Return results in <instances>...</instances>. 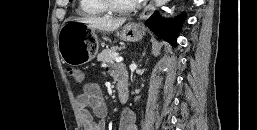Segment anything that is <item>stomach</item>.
<instances>
[{"label": "stomach", "mask_w": 257, "mask_h": 130, "mask_svg": "<svg viewBox=\"0 0 257 130\" xmlns=\"http://www.w3.org/2000/svg\"><path fill=\"white\" fill-rule=\"evenodd\" d=\"M118 34L122 40L129 42H137L143 37L140 25L133 22L124 25ZM89 36H94V29L82 22L70 20L62 25L58 35V49L64 63L77 66L95 58L98 44L92 43Z\"/></svg>", "instance_id": "obj_1"}]
</instances>
